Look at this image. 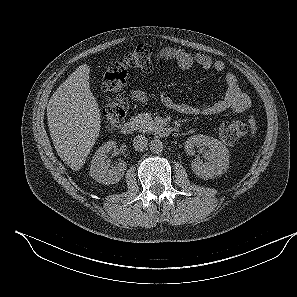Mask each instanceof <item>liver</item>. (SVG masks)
<instances>
[{
	"instance_id": "liver-1",
	"label": "liver",
	"mask_w": 297,
	"mask_h": 297,
	"mask_svg": "<svg viewBox=\"0 0 297 297\" xmlns=\"http://www.w3.org/2000/svg\"><path fill=\"white\" fill-rule=\"evenodd\" d=\"M90 68L79 66L53 93L47 106L51 139L59 157L79 170L94 146L101 127L98 103L90 91Z\"/></svg>"
}]
</instances>
